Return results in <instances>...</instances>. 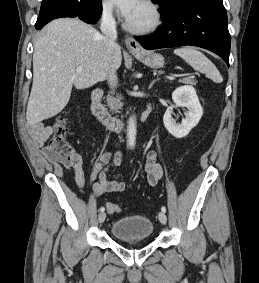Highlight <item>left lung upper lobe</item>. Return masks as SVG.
Returning <instances> with one entry per match:
<instances>
[{"mask_svg": "<svg viewBox=\"0 0 259 283\" xmlns=\"http://www.w3.org/2000/svg\"><path fill=\"white\" fill-rule=\"evenodd\" d=\"M160 4L162 10L161 15L172 13L179 8L183 7L187 2L191 0H152Z\"/></svg>", "mask_w": 259, "mask_h": 283, "instance_id": "5c2ea615", "label": "left lung upper lobe"}]
</instances>
